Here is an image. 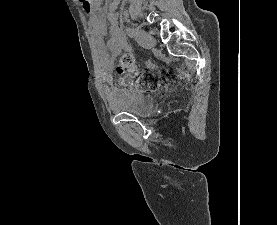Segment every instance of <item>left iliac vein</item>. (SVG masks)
<instances>
[{"label": "left iliac vein", "instance_id": "obj_1", "mask_svg": "<svg viewBox=\"0 0 277 225\" xmlns=\"http://www.w3.org/2000/svg\"><path fill=\"white\" fill-rule=\"evenodd\" d=\"M135 38L138 44L144 48H153L156 45L155 39L147 34L144 30L142 29H135Z\"/></svg>", "mask_w": 277, "mask_h": 225}]
</instances>
